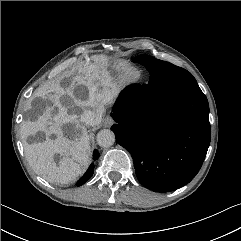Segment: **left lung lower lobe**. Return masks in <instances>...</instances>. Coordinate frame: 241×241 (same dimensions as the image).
I'll return each mask as SVG.
<instances>
[{
	"mask_svg": "<svg viewBox=\"0 0 241 241\" xmlns=\"http://www.w3.org/2000/svg\"><path fill=\"white\" fill-rule=\"evenodd\" d=\"M116 141L132 155L146 188L169 192L200 170L210 139L209 105L198 87L173 95L162 74L123 89L113 107Z\"/></svg>",
	"mask_w": 241,
	"mask_h": 241,
	"instance_id": "left-lung-lower-lobe-1",
	"label": "left lung lower lobe"
}]
</instances>
